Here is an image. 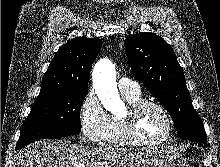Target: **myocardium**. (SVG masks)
<instances>
[{"mask_svg":"<svg viewBox=\"0 0 220 167\" xmlns=\"http://www.w3.org/2000/svg\"><path fill=\"white\" fill-rule=\"evenodd\" d=\"M148 106L159 109L166 118L167 132L159 139L146 140L137 134L136 125L139 114ZM121 133L124 140L131 145L155 147L166 143L173 135L174 121L167 108L160 102L154 100H139L128 105L126 110L119 116Z\"/></svg>","mask_w":220,"mask_h":167,"instance_id":"f54148a6","label":"myocardium"}]
</instances>
